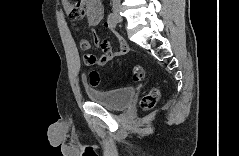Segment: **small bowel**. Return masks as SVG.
<instances>
[{"instance_id":"obj_1","label":"small bowel","mask_w":239,"mask_h":156,"mask_svg":"<svg viewBox=\"0 0 239 156\" xmlns=\"http://www.w3.org/2000/svg\"><path fill=\"white\" fill-rule=\"evenodd\" d=\"M62 6L65 12L71 17V20L74 23V29L76 31H79V28L75 23L84 17H86L90 26H97L103 18L104 11L100 0H80L77 2L64 0L62 2ZM105 27H110L108 21L105 23ZM93 42L96 46H99L102 49L103 53L100 57H96L93 54H86L85 59L89 66L106 65L113 57L125 55L129 50L128 45L120 39L119 49L113 51L110 41H100L95 32H93ZM80 48L82 51L87 52L91 49V44L87 40H81Z\"/></svg>"}]
</instances>
